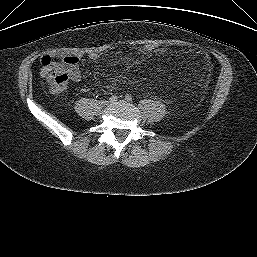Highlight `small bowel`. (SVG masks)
Returning a JSON list of instances; mask_svg holds the SVG:
<instances>
[{"mask_svg":"<svg viewBox=\"0 0 257 257\" xmlns=\"http://www.w3.org/2000/svg\"><path fill=\"white\" fill-rule=\"evenodd\" d=\"M89 57L91 59H95L97 55L95 53H91ZM81 58V55L77 54L66 55L63 56L61 60L55 64L67 73L68 78L72 82L76 83L79 82L81 79V70L79 65Z\"/></svg>","mask_w":257,"mask_h":257,"instance_id":"1","label":"small bowel"}]
</instances>
